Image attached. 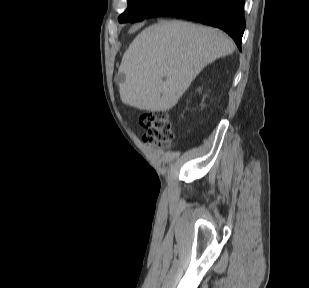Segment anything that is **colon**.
<instances>
[{
	"instance_id": "obj_1",
	"label": "colon",
	"mask_w": 309,
	"mask_h": 288,
	"mask_svg": "<svg viewBox=\"0 0 309 288\" xmlns=\"http://www.w3.org/2000/svg\"><path fill=\"white\" fill-rule=\"evenodd\" d=\"M140 124L147 130L144 143L151 148L167 149L174 139L169 114L163 110L147 111L140 115Z\"/></svg>"
}]
</instances>
